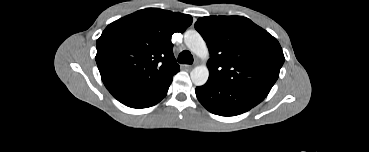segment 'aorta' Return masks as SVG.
<instances>
[{
  "instance_id": "1",
  "label": "aorta",
  "mask_w": 369,
  "mask_h": 152,
  "mask_svg": "<svg viewBox=\"0 0 369 152\" xmlns=\"http://www.w3.org/2000/svg\"><path fill=\"white\" fill-rule=\"evenodd\" d=\"M186 46L191 52L200 58H206L209 54L206 42L197 31H187L184 36ZM191 80L194 85H204L209 77V70L205 65L196 66L191 71Z\"/></svg>"
}]
</instances>
